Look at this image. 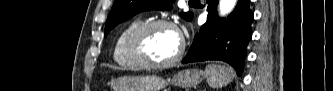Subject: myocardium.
Instances as JSON below:
<instances>
[{"instance_id":"1","label":"myocardium","mask_w":333,"mask_h":91,"mask_svg":"<svg viewBox=\"0 0 333 91\" xmlns=\"http://www.w3.org/2000/svg\"><path fill=\"white\" fill-rule=\"evenodd\" d=\"M160 27H169L179 34L181 40L180 48L172 59L163 62H152L144 52V38L152 30ZM127 52L129 57L142 68L163 69L175 65L181 60L185 52V41L177 26L172 21L165 19L152 20L141 23L129 34L127 39Z\"/></svg>"}]
</instances>
